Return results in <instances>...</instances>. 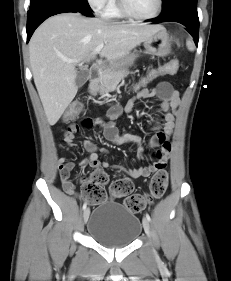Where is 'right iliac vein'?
<instances>
[{"instance_id":"1","label":"right iliac vein","mask_w":231,"mask_h":281,"mask_svg":"<svg viewBox=\"0 0 231 281\" xmlns=\"http://www.w3.org/2000/svg\"><path fill=\"white\" fill-rule=\"evenodd\" d=\"M89 215H90V210H89V208H87V209L84 210V213H83V221H84V223L87 222V220L89 218Z\"/></svg>"}]
</instances>
